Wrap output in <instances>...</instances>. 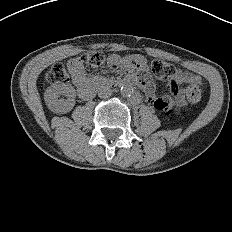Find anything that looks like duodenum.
<instances>
[{"label": "duodenum", "mask_w": 232, "mask_h": 232, "mask_svg": "<svg viewBox=\"0 0 232 232\" xmlns=\"http://www.w3.org/2000/svg\"><path fill=\"white\" fill-rule=\"evenodd\" d=\"M138 83V80L133 77H128L120 81H111L97 79L93 82L87 83L84 87L79 89V95L84 99H90L95 94V91L100 86L106 87H121V86H130Z\"/></svg>", "instance_id": "410a0bca"}]
</instances>
